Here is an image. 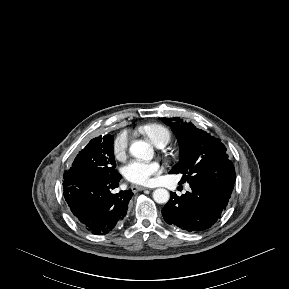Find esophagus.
Wrapping results in <instances>:
<instances>
[{
  "label": "esophagus",
  "instance_id": "esophagus-1",
  "mask_svg": "<svg viewBox=\"0 0 289 289\" xmlns=\"http://www.w3.org/2000/svg\"><path fill=\"white\" fill-rule=\"evenodd\" d=\"M147 188L142 187V186H138V185H133L131 187L132 192H138V191H142V190H146Z\"/></svg>",
  "mask_w": 289,
  "mask_h": 289
}]
</instances>
